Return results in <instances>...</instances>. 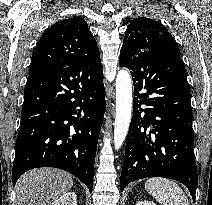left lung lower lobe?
I'll list each match as a JSON object with an SVG mask.
<instances>
[{"label": "left lung lower lobe", "mask_w": 212, "mask_h": 205, "mask_svg": "<svg viewBox=\"0 0 212 205\" xmlns=\"http://www.w3.org/2000/svg\"><path fill=\"white\" fill-rule=\"evenodd\" d=\"M120 66L131 70L134 83L120 190L138 179L165 177L183 183L195 201L190 90L180 55L150 49L120 60Z\"/></svg>", "instance_id": "left-lung-lower-lobe-1"}]
</instances>
